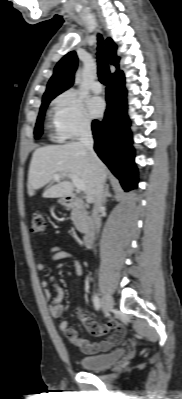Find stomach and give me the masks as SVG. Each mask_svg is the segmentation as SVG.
<instances>
[{
    "mask_svg": "<svg viewBox=\"0 0 182 399\" xmlns=\"http://www.w3.org/2000/svg\"><path fill=\"white\" fill-rule=\"evenodd\" d=\"M61 205H66V200L63 198V199H60L59 201H58Z\"/></svg>",
    "mask_w": 182,
    "mask_h": 399,
    "instance_id": "0dacf381",
    "label": "stomach"
}]
</instances>
